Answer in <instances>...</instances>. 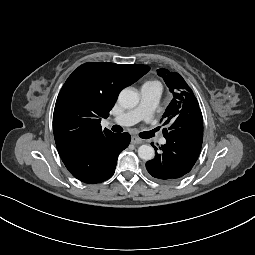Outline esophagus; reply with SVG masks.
Listing matches in <instances>:
<instances>
[{
  "label": "esophagus",
  "instance_id": "obj_1",
  "mask_svg": "<svg viewBox=\"0 0 255 255\" xmlns=\"http://www.w3.org/2000/svg\"><path fill=\"white\" fill-rule=\"evenodd\" d=\"M131 143H133V144H141V143H143V140L138 138V137H136V136H132Z\"/></svg>",
  "mask_w": 255,
  "mask_h": 255
}]
</instances>
